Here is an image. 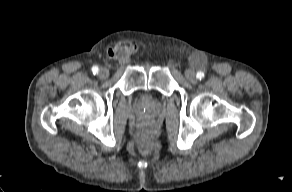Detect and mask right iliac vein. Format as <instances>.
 Segmentation results:
<instances>
[{
    "mask_svg": "<svg viewBox=\"0 0 292 192\" xmlns=\"http://www.w3.org/2000/svg\"><path fill=\"white\" fill-rule=\"evenodd\" d=\"M109 76V71L105 68H102L100 71H99V77L101 79H106L107 77Z\"/></svg>",
    "mask_w": 292,
    "mask_h": 192,
    "instance_id": "1",
    "label": "right iliac vein"
}]
</instances>
